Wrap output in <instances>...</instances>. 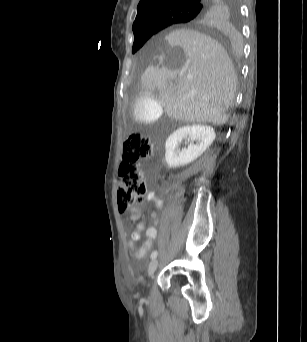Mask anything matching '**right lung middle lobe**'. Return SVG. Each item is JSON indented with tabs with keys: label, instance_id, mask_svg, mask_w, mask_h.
<instances>
[{
	"label": "right lung middle lobe",
	"instance_id": "dd1d6c3e",
	"mask_svg": "<svg viewBox=\"0 0 307 342\" xmlns=\"http://www.w3.org/2000/svg\"><path fill=\"white\" fill-rule=\"evenodd\" d=\"M197 13L198 11L194 9H184L176 11L168 14L165 18V21L160 27L134 34L135 41L132 47V53L137 52L145 44V42L158 31L173 24L187 22L193 19L197 15Z\"/></svg>",
	"mask_w": 307,
	"mask_h": 342
}]
</instances>
